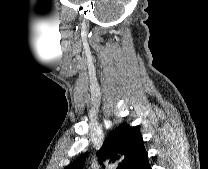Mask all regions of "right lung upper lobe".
<instances>
[{"instance_id": "right-lung-upper-lobe-1", "label": "right lung upper lobe", "mask_w": 208, "mask_h": 169, "mask_svg": "<svg viewBox=\"0 0 208 169\" xmlns=\"http://www.w3.org/2000/svg\"><path fill=\"white\" fill-rule=\"evenodd\" d=\"M97 156L100 164L120 160L122 164L117 169H139L148 158L140 131L125 122L109 134ZM86 157L87 153L82 154L66 169H82Z\"/></svg>"}]
</instances>
